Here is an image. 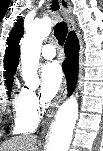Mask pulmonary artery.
<instances>
[{"label":"pulmonary artery","mask_w":103,"mask_h":151,"mask_svg":"<svg viewBox=\"0 0 103 151\" xmlns=\"http://www.w3.org/2000/svg\"><path fill=\"white\" fill-rule=\"evenodd\" d=\"M56 55V50L54 45L52 44H46L43 46L42 48V56L47 59V60H51L55 57Z\"/></svg>","instance_id":"pulmonary-artery-1"}]
</instances>
